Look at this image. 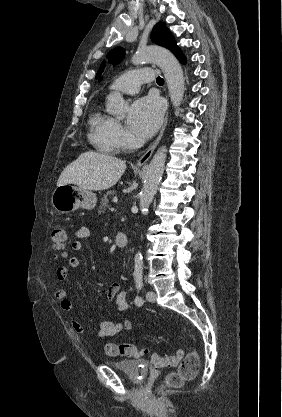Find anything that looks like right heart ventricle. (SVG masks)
<instances>
[{"label":"right heart ventricle","mask_w":282,"mask_h":417,"mask_svg":"<svg viewBox=\"0 0 282 417\" xmlns=\"http://www.w3.org/2000/svg\"><path fill=\"white\" fill-rule=\"evenodd\" d=\"M117 126L116 120L99 108L90 118L89 139L102 150L114 151L119 146Z\"/></svg>","instance_id":"e07e8e85"}]
</instances>
